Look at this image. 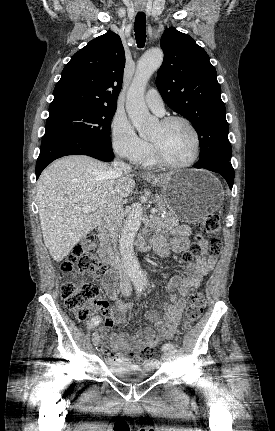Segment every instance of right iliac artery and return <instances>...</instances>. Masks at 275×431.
I'll return each mask as SVG.
<instances>
[{"label": "right iliac artery", "instance_id": "82829eb1", "mask_svg": "<svg viewBox=\"0 0 275 431\" xmlns=\"http://www.w3.org/2000/svg\"><path fill=\"white\" fill-rule=\"evenodd\" d=\"M136 290H137V293H138V296H139V294H140V293H141V291H142V285H141V284H137V285H136ZM100 322H101V317H99V316H95V317H93V318L90 320V322H89V324H88V328H89V329H92V328H94L95 326H97Z\"/></svg>", "mask_w": 275, "mask_h": 431}]
</instances>
